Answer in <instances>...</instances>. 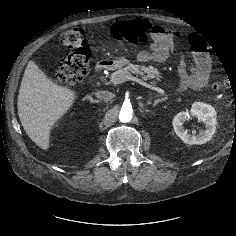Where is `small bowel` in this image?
<instances>
[{
    "label": "small bowel",
    "mask_w": 236,
    "mask_h": 236,
    "mask_svg": "<svg viewBox=\"0 0 236 236\" xmlns=\"http://www.w3.org/2000/svg\"><path fill=\"white\" fill-rule=\"evenodd\" d=\"M152 42L148 49L139 52L141 62H164L178 42L188 44L192 57L188 63L183 56L178 63V89H200L208 84L210 78V60L204 50L203 40L180 29H165L154 24L151 30Z\"/></svg>",
    "instance_id": "1"
}]
</instances>
